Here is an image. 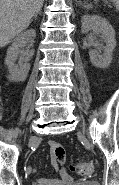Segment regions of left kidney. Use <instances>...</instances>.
Returning <instances> with one entry per match:
<instances>
[{
    "instance_id": "obj_1",
    "label": "left kidney",
    "mask_w": 119,
    "mask_h": 185,
    "mask_svg": "<svg viewBox=\"0 0 119 185\" xmlns=\"http://www.w3.org/2000/svg\"><path fill=\"white\" fill-rule=\"evenodd\" d=\"M81 23L82 33H88L92 30L94 33L102 36L105 43L103 53L90 50L89 56L91 63L95 67L107 68L112 62V52L116 46L114 28L105 18L98 15H83Z\"/></svg>"
}]
</instances>
